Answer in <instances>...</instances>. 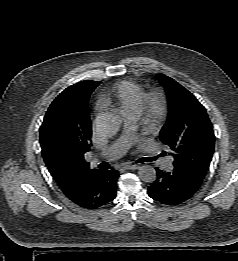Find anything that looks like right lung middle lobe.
Segmentation results:
<instances>
[{
	"mask_svg": "<svg viewBox=\"0 0 238 261\" xmlns=\"http://www.w3.org/2000/svg\"><path fill=\"white\" fill-rule=\"evenodd\" d=\"M73 99L71 93L63 91L60 93L56 99L50 105L44 121H52L61 118H68L72 112ZM44 149L45 152L43 157L52 158L56 155V148L51 144V142L45 138L44 140Z\"/></svg>",
	"mask_w": 238,
	"mask_h": 261,
	"instance_id": "dd1d6c3e",
	"label": "right lung middle lobe"
}]
</instances>
